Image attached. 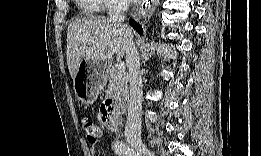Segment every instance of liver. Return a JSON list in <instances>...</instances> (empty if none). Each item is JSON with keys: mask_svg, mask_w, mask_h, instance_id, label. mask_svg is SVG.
<instances>
[{"mask_svg": "<svg viewBox=\"0 0 261 156\" xmlns=\"http://www.w3.org/2000/svg\"><path fill=\"white\" fill-rule=\"evenodd\" d=\"M133 31L108 18L90 16L76 19L67 30V65L74 80L82 60L109 61L114 54L123 57Z\"/></svg>", "mask_w": 261, "mask_h": 156, "instance_id": "obj_1", "label": "liver"}]
</instances>
